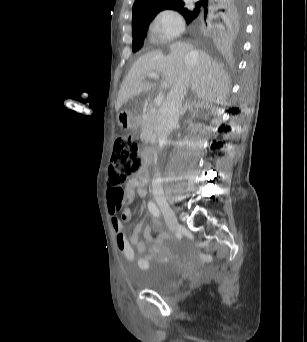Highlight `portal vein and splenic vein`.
<instances>
[{
	"mask_svg": "<svg viewBox=\"0 0 307 342\" xmlns=\"http://www.w3.org/2000/svg\"><path fill=\"white\" fill-rule=\"evenodd\" d=\"M148 78H153V80H159L158 74H147ZM162 92L160 94H156L155 98L153 99L154 105H161L162 101L164 100V91L166 90L164 87L161 89Z\"/></svg>",
	"mask_w": 307,
	"mask_h": 342,
	"instance_id": "1",
	"label": "portal vein and splenic vein"
}]
</instances>
